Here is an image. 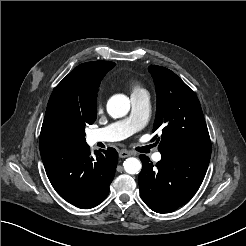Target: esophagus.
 <instances>
[{
	"mask_svg": "<svg viewBox=\"0 0 246 246\" xmlns=\"http://www.w3.org/2000/svg\"><path fill=\"white\" fill-rule=\"evenodd\" d=\"M131 155H132V153L129 152V151H126V150H121V151L119 152V157H120V158H126V157H129V156H131Z\"/></svg>",
	"mask_w": 246,
	"mask_h": 246,
	"instance_id": "esophagus-1",
	"label": "esophagus"
}]
</instances>
